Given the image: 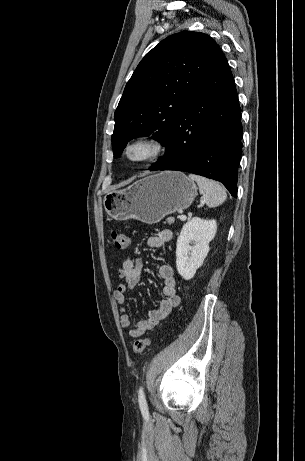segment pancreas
<instances>
[{
	"label": "pancreas",
	"instance_id": "pancreas-1",
	"mask_svg": "<svg viewBox=\"0 0 305 461\" xmlns=\"http://www.w3.org/2000/svg\"><path fill=\"white\" fill-rule=\"evenodd\" d=\"M166 223H168V224H172V223H174V218H173V217H169V218H167V221H166Z\"/></svg>",
	"mask_w": 305,
	"mask_h": 461
}]
</instances>
